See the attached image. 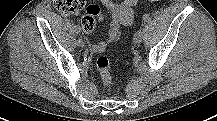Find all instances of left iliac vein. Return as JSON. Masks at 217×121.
<instances>
[{
  "label": "left iliac vein",
  "instance_id": "left-iliac-vein-1",
  "mask_svg": "<svg viewBox=\"0 0 217 121\" xmlns=\"http://www.w3.org/2000/svg\"><path fill=\"white\" fill-rule=\"evenodd\" d=\"M142 39H143V32L139 30L134 34L133 40L135 43H140Z\"/></svg>",
  "mask_w": 217,
  "mask_h": 121
}]
</instances>
